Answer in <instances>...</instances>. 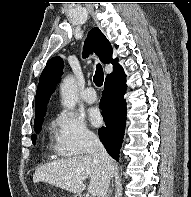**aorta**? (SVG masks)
Masks as SVG:
<instances>
[{
  "label": "aorta",
  "instance_id": "obj_1",
  "mask_svg": "<svg viewBox=\"0 0 191 197\" xmlns=\"http://www.w3.org/2000/svg\"><path fill=\"white\" fill-rule=\"evenodd\" d=\"M61 103L67 109H73L78 101L77 84L72 75L65 77L61 86Z\"/></svg>",
  "mask_w": 191,
  "mask_h": 197
}]
</instances>
